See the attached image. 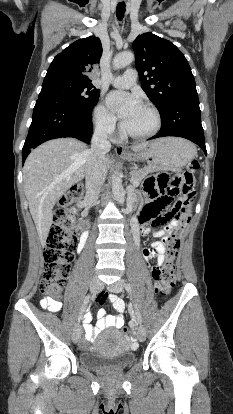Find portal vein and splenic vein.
Masks as SVG:
<instances>
[{
	"mask_svg": "<svg viewBox=\"0 0 233 414\" xmlns=\"http://www.w3.org/2000/svg\"><path fill=\"white\" fill-rule=\"evenodd\" d=\"M131 182H132V184H133L134 186H138V185H139V184H138V182L134 181V179H133V178H131Z\"/></svg>",
	"mask_w": 233,
	"mask_h": 414,
	"instance_id": "portal-vein-and-splenic-vein-1",
	"label": "portal vein and splenic vein"
}]
</instances>
